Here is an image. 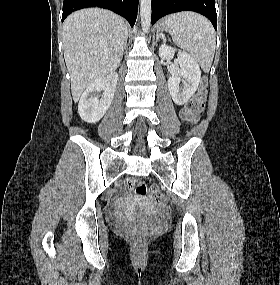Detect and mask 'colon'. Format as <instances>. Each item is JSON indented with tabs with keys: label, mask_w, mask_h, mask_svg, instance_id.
I'll use <instances>...</instances> for the list:
<instances>
[{
	"label": "colon",
	"mask_w": 280,
	"mask_h": 285,
	"mask_svg": "<svg viewBox=\"0 0 280 285\" xmlns=\"http://www.w3.org/2000/svg\"><path fill=\"white\" fill-rule=\"evenodd\" d=\"M207 81L203 79L201 84L194 94V96L186 103L184 109L181 112V117L187 123L193 124L196 123L199 119L200 114L203 112L206 106L207 100ZM126 187L129 190L135 192L138 196H144L147 193L150 194L151 198L160 202L163 198V195L157 189H149V187L141 181L136 179H129L126 181ZM146 236L142 233H136L132 236V241L135 244H141L144 242Z\"/></svg>",
	"instance_id": "5ec220e1"
}]
</instances>
